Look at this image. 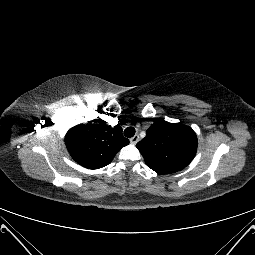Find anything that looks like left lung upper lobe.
<instances>
[{"mask_svg":"<svg viewBox=\"0 0 255 255\" xmlns=\"http://www.w3.org/2000/svg\"><path fill=\"white\" fill-rule=\"evenodd\" d=\"M197 145L196 134L190 127L157 119L136 147L149 168L159 174H169L182 170L192 161Z\"/></svg>","mask_w":255,"mask_h":255,"instance_id":"1","label":"left lung upper lobe"}]
</instances>
